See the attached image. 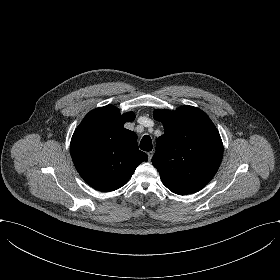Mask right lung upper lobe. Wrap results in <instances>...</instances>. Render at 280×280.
Masks as SVG:
<instances>
[{
	"label": "right lung upper lobe",
	"mask_w": 280,
	"mask_h": 280,
	"mask_svg": "<svg viewBox=\"0 0 280 280\" xmlns=\"http://www.w3.org/2000/svg\"><path fill=\"white\" fill-rule=\"evenodd\" d=\"M134 118L132 112L121 115L115 106L107 105L89 112L75 130L72 160L91 187L106 192L119 189L148 160L138 149L137 135L124 128Z\"/></svg>",
	"instance_id": "cb5924a9"
}]
</instances>
